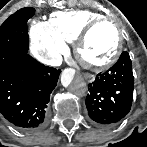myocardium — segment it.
<instances>
[{
  "label": "myocardium",
  "mask_w": 147,
  "mask_h": 147,
  "mask_svg": "<svg viewBox=\"0 0 147 147\" xmlns=\"http://www.w3.org/2000/svg\"><path fill=\"white\" fill-rule=\"evenodd\" d=\"M108 26L109 24L106 21H99L93 23L86 27L82 34L79 36V38L76 40L74 47L75 56L85 68L92 70L103 69L111 65L117 58L121 48V42L119 40L112 49L111 53L99 61H92L86 55L88 41L91 35L94 33V31H96L99 28H107Z\"/></svg>",
  "instance_id": "1"
}]
</instances>
